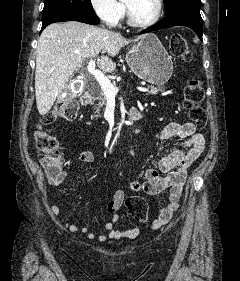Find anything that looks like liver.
Here are the masks:
<instances>
[{
  "instance_id": "obj_1",
  "label": "liver",
  "mask_w": 240,
  "mask_h": 281,
  "mask_svg": "<svg viewBox=\"0 0 240 281\" xmlns=\"http://www.w3.org/2000/svg\"><path fill=\"white\" fill-rule=\"evenodd\" d=\"M144 37L130 40L119 33L76 21L47 26L38 39L36 51L35 93L39 114L49 112L73 72L87 59L102 52L97 66L111 73L116 64L110 57Z\"/></svg>"
}]
</instances>
